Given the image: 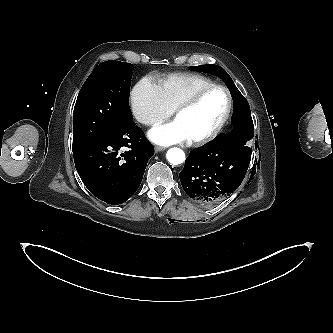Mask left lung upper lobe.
<instances>
[{
	"label": "left lung upper lobe",
	"instance_id": "5c2ea615",
	"mask_svg": "<svg viewBox=\"0 0 333 333\" xmlns=\"http://www.w3.org/2000/svg\"><path fill=\"white\" fill-rule=\"evenodd\" d=\"M190 70L207 72V73H212V74L217 75L218 77H220L226 83L227 87L229 88V90L232 94L234 102L235 101H242L245 104H248L247 100L242 96L240 91L236 88V86L233 83L231 77L228 75V73L222 67L217 66V65H213V64H209V65H206V66H203V65L191 66ZM231 134H233V131L228 135H231ZM223 136L224 135H219L217 138H221ZM244 145H245V143L243 144L242 149L244 150V152H246L247 154H249L251 156L252 149L249 148L248 146H244Z\"/></svg>",
	"mask_w": 333,
	"mask_h": 333
}]
</instances>
